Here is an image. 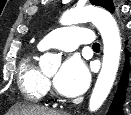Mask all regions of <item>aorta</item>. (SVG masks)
I'll use <instances>...</instances> for the list:
<instances>
[{
	"label": "aorta",
	"mask_w": 131,
	"mask_h": 115,
	"mask_svg": "<svg viewBox=\"0 0 131 115\" xmlns=\"http://www.w3.org/2000/svg\"><path fill=\"white\" fill-rule=\"evenodd\" d=\"M83 21H92L99 30L104 45L102 68L89 102V110L94 112L101 107L113 86L120 61L121 38L115 19L101 8H75L65 12L60 19L62 25H72ZM54 60L53 54H44L40 59L42 70H45L48 65L51 66Z\"/></svg>",
	"instance_id": "obj_1"
}]
</instances>
